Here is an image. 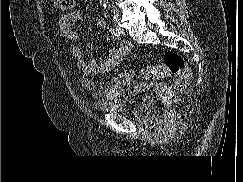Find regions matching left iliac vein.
I'll return each instance as SVG.
<instances>
[{"label": "left iliac vein", "mask_w": 243, "mask_h": 182, "mask_svg": "<svg viewBox=\"0 0 243 182\" xmlns=\"http://www.w3.org/2000/svg\"><path fill=\"white\" fill-rule=\"evenodd\" d=\"M122 35H125V31L122 27L119 28Z\"/></svg>", "instance_id": "left-iliac-vein-1"}]
</instances>
